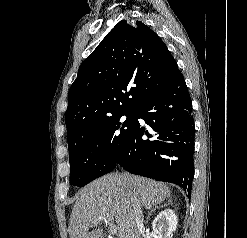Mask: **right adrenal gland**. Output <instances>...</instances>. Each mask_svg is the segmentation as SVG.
<instances>
[{
  "mask_svg": "<svg viewBox=\"0 0 247 238\" xmlns=\"http://www.w3.org/2000/svg\"><path fill=\"white\" fill-rule=\"evenodd\" d=\"M164 206H166V205L157 206V207H154L153 209H151V210L148 212V215H147V217H146V222H145V223H146V224L148 223V220H149L150 216L152 215L153 212L156 211V209L163 208Z\"/></svg>",
  "mask_w": 247,
  "mask_h": 238,
  "instance_id": "2a0ac1e0",
  "label": "right adrenal gland"
}]
</instances>
